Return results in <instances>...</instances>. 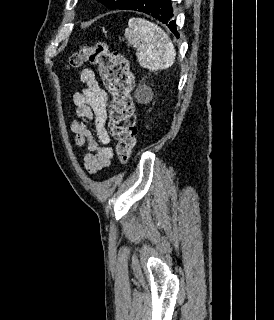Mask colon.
Returning a JSON list of instances; mask_svg holds the SVG:
<instances>
[{
  "label": "colon",
  "mask_w": 274,
  "mask_h": 320,
  "mask_svg": "<svg viewBox=\"0 0 274 320\" xmlns=\"http://www.w3.org/2000/svg\"><path fill=\"white\" fill-rule=\"evenodd\" d=\"M84 63L96 66L104 87L111 97L109 130L115 140L118 157L128 161L135 148L136 119L131 97L133 75L129 64L120 52L111 51L105 42L86 45L75 51L68 67L79 68Z\"/></svg>",
  "instance_id": "1"
}]
</instances>
